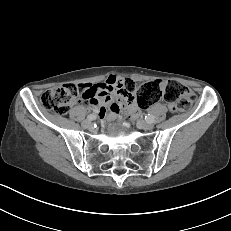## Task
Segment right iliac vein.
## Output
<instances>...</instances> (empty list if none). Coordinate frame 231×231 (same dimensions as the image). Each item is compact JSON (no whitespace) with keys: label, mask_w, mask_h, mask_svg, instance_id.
Segmentation results:
<instances>
[{"label":"right iliac vein","mask_w":231,"mask_h":231,"mask_svg":"<svg viewBox=\"0 0 231 231\" xmlns=\"http://www.w3.org/2000/svg\"><path fill=\"white\" fill-rule=\"evenodd\" d=\"M91 125H92V123H91L90 120H85V121L82 122V126L84 128H89V127H91Z\"/></svg>","instance_id":"obj_1"}]
</instances>
